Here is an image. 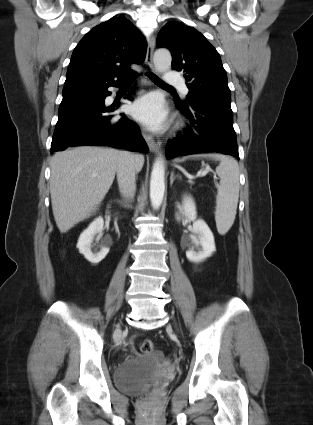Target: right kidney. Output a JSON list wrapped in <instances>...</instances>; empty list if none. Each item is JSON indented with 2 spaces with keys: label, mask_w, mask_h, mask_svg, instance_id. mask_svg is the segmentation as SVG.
I'll return each instance as SVG.
<instances>
[{
  "label": "right kidney",
  "mask_w": 313,
  "mask_h": 425,
  "mask_svg": "<svg viewBox=\"0 0 313 425\" xmlns=\"http://www.w3.org/2000/svg\"><path fill=\"white\" fill-rule=\"evenodd\" d=\"M104 220L102 217L96 218L86 230H84L77 243V248L79 252L84 255V257L91 262L92 264H97L105 258L109 252L107 245L101 247L99 252H92V241L96 234H102Z\"/></svg>",
  "instance_id": "ca27d5eb"
}]
</instances>
